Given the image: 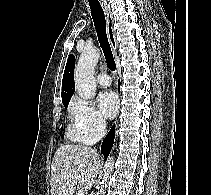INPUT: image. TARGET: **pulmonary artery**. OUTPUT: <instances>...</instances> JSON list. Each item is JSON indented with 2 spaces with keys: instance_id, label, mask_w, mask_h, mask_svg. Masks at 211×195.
<instances>
[{
  "instance_id": "e3ab8cb5",
  "label": "pulmonary artery",
  "mask_w": 211,
  "mask_h": 195,
  "mask_svg": "<svg viewBox=\"0 0 211 195\" xmlns=\"http://www.w3.org/2000/svg\"><path fill=\"white\" fill-rule=\"evenodd\" d=\"M97 82L99 83V85L106 88L111 85V78L108 74L101 73L97 76Z\"/></svg>"
}]
</instances>
